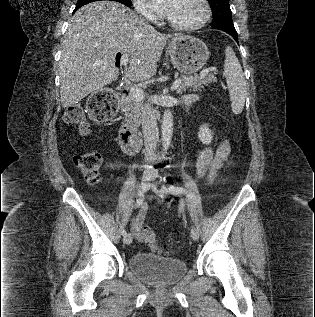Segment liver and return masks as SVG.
I'll use <instances>...</instances> for the list:
<instances>
[{
    "mask_svg": "<svg viewBox=\"0 0 315 317\" xmlns=\"http://www.w3.org/2000/svg\"><path fill=\"white\" fill-rule=\"evenodd\" d=\"M168 37L118 2L97 1L81 7L70 19L61 43L62 106L75 105L115 81L118 52L129 58L125 77L149 80L156 73Z\"/></svg>",
    "mask_w": 315,
    "mask_h": 317,
    "instance_id": "liver-1",
    "label": "liver"
}]
</instances>
